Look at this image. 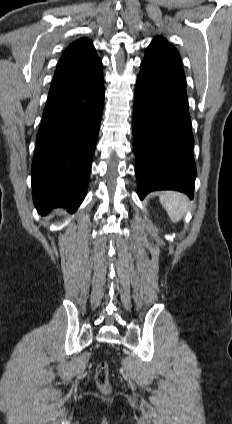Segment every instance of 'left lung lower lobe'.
Returning <instances> with one entry per match:
<instances>
[{
    "instance_id": "obj_1",
    "label": "left lung lower lobe",
    "mask_w": 232,
    "mask_h": 424,
    "mask_svg": "<svg viewBox=\"0 0 232 424\" xmlns=\"http://www.w3.org/2000/svg\"><path fill=\"white\" fill-rule=\"evenodd\" d=\"M193 144L181 64L142 62L133 110V149L140 199L156 190H178L193 198Z\"/></svg>"
}]
</instances>
